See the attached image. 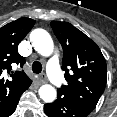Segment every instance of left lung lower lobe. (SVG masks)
Masks as SVG:
<instances>
[{
	"label": "left lung lower lobe",
	"instance_id": "obj_1",
	"mask_svg": "<svg viewBox=\"0 0 117 117\" xmlns=\"http://www.w3.org/2000/svg\"><path fill=\"white\" fill-rule=\"evenodd\" d=\"M57 93V99L53 103L44 105V111L48 117H86L91 113L61 92Z\"/></svg>",
	"mask_w": 117,
	"mask_h": 117
}]
</instances>
